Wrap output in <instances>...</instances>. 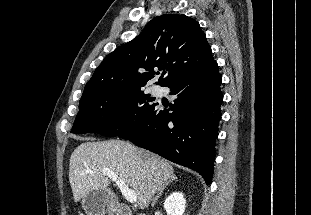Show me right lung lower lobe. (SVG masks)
<instances>
[{
	"label": "right lung lower lobe",
	"instance_id": "98d812e1",
	"mask_svg": "<svg viewBox=\"0 0 311 215\" xmlns=\"http://www.w3.org/2000/svg\"><path fill=\"white\" fill-rule=\"evenodd\" d=\"M221 82L215 60L173 80L166 87L177 97L174 104L169 109L155 108L118 137L199 172L209 185L222 115Z\"/></svg>",
	"mask_w": 311,
	"mask_h": 215
}]
</instances>
